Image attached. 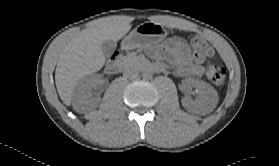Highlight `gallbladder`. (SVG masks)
I'll list each match as a JSON object with an SVG mask.
<instances>
[{
    "label": "gallbladder",
    "instance_id": "bac80fb5",
    "mask_svg": "<svg viewBox=\"0 0 279 166\" xmlns=\"http://www.w3.org/2000/svg\"><path fill=\"white\" fill-rule=\"evenodd\" d=\"M116 41L115 40H112V39H109V40H105L102 44H101V50H102V53L104 55V57H110L115 49H116Z\"/></svg>",
    "mask_w": 279,
    "mask_h": 166
}]
</instances>
